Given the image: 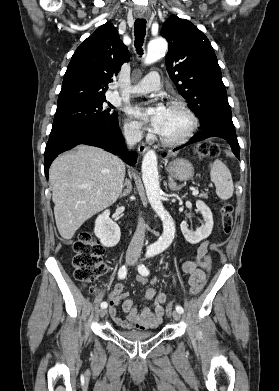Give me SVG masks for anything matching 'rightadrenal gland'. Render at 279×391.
<instances>
[{"mask_svg": "<svg viewBox=\"0 0 279 391\" xmlns=\"http://www.w3.org/2000/svg\"><path fill=\"white\" fill-rule=\"evenodd\" d=\"M131 189H132L131 183L128 181L127 189H125V190L123 191V193H121L120 198L126 197L127 195H129L130 192H131Z\"/></svg>", "mask_w": 279, "mask_h": 391, "instance_id": "right-adrenal-gland-1", "label": "right adrenal gland"}]
</instances>
